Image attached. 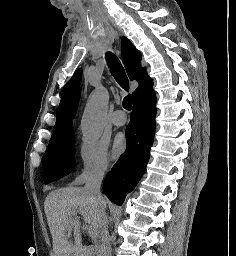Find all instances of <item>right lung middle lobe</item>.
Returning <instances> with one entry per match:
<instances>
[{
    "mask_svg": "<svg viewBox=\"0 0 236 256\" xmlns=\"http://www.w3.org/2000/svg\"><path fill=\"white\" fill-rule=\"evenodd\" d=\"M75 139L74 133L64 138L50 141L44 155V183L59 179L69 173L74 166Z\"/></svg>",
    "mask_w": 236,
    "mask_h": 256,
    "instance_id": "right-lung-middle-lobe-1",
    "label": "right lung middle lobe"
}]
</instances>
